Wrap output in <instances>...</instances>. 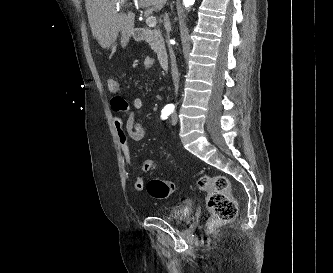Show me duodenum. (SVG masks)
<instances>
[{
	"mask_svg": "<svg viewBox=\"0 0 333 273\" xmlns=\"http://www.w3.org/2000/svg\"><path fill=\"white\" fill-rule=\"evenodd\" d=\"M134 36L139 41L151 42L157 53L158 61L163 69L169 65V55L164 42L163 34L158 29L135 28Z\"/></svg>",
	"mask_w": 333,
	"mask_h": 273,
	"instance_id": "obj_1",
	"label": "duodenum"
}]
</instances>
